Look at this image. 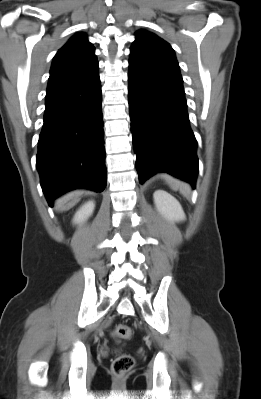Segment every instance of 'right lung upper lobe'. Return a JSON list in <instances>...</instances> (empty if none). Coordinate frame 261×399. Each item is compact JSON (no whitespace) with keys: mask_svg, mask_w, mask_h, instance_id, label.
<instances>
[{"mask_svg":"<svg viewBox=\"0 0 261 399\" xmlns=\"http://www.w3.org/2000/svg\"><path fill=\"white\" fill-rule=\"evenodd\" d=\"M95 48L84 33L74 35L55 55L47 91L84 81L98 72Z\"/></svg>","mask_w":261,"mask_h":399,"instance_id":"cb5924a9","label":"right lung upper lobe"}]
</instances>
